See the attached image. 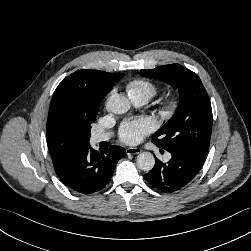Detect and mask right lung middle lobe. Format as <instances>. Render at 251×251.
<instances>
[{
	"label": "right lung middle lobe",
	"instance_id": "1",
	"mask_svg": "<svg viewBox=\"0 0 251 251\" xmlns=\"http://www.w3.org/2000/svg\"><path fill=\"white\" fill-rule=\"evenodd\" d=\"M96 116H97V114L94 115V117L90 120V122H89V124H88V127H89L90 130H91V124H92L93 122H95Z\"/></svg>",
	"mask_w": 251,
	"mask_h": 251
}]
</instances>
